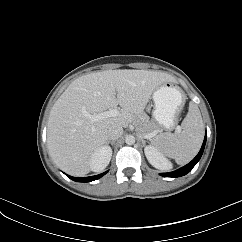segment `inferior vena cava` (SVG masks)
Segmentation results:
<instances>
[{"instance_id":"inferior-vena-cava-1","label":"inferior vena cava","mask_w":242,"mask_h":242,"mask_svg":"<svg viewBox=\"0 0 242 242\" xmlns=\"http://www.w3.org/2000/svg\"><path fill=\"white\" fill-rule=\"evenodd\" d=\"M123 135V128L118 125L111 126L108 130V138L110 140H116Z\"/></svg>"}]
</instances>
